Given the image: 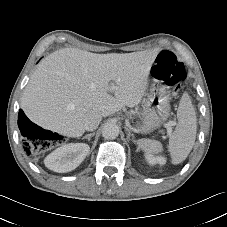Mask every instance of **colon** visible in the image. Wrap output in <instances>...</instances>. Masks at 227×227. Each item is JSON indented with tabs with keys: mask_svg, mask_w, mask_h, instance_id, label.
Wrapping results in <instances>:
<instances>
[{
	"mask_svg": "<svg viewBox=\"0 0 227 227\" xmlns=\"http://www.w3.org/2000/svg\"><path fill=\"white\" fill-rule=\"evenodd\" d=\"M152 74L169 86L174 94L180 91L187 76L185 65L169 51H163L157 56L152 67ZM28 138L30 139L23 143V150L26 154L43 152L49 148V132L35 130Z\"/></svg>",
	"mask_w": 227,
	"mask_h": 227,
	"instance_id": "obj_1",
	"label": "colon"
}]
</instances>
